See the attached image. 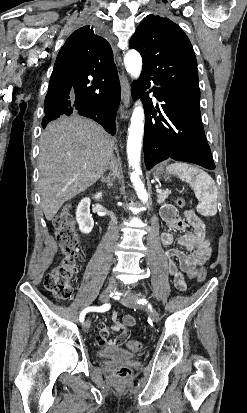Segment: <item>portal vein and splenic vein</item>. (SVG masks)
I'll list each match as a JSON object with an SVG mask.
<instances>
[{"mask_svg":"<svg viewBox=\"0 0 247 413\" xmlns=\"http://www.w3.org/2000/svg\"><path fill=\"white\" fill-rule=\"evenodd\" d=\"M157 192H161V188H156Z\"/></svg>","mask_w":247,"mask_h":413,"instance_id":"portal-vein-and-splenic-vein-1","label":"portal vein and splenic vein"}]
</instances>
